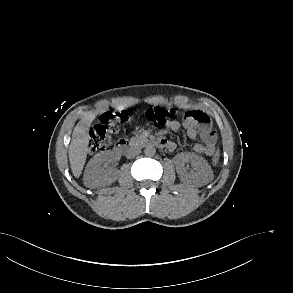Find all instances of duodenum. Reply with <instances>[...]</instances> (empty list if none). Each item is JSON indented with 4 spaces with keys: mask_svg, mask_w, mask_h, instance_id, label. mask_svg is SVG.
I'll return each instance as SVG.
<instances>
[{
    "mask_svg": "<svg viewBox=\"0 0 293 293\" xmlns=\"http://www.w3.org/2000/svg\"><path fill=\"white\" fill-rule=\"evenodd\" d=\"M149 145H153L157 148H166L167 147V142L165 140H154L152 143H148ZM114 149L116 152L122 154V155H131L135 149L136 146L131 143L128 139H119L117 140Z\"/></svg>",
    "mask_w": 293,
    "mask_h": 293,
    "instance_id": "410a0bca",
    "label": "duodenum"
}]
</instances>
